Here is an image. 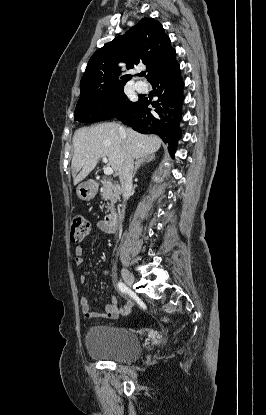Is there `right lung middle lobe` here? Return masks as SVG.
Returning <instances> with one entry per match:
<instances>
[{
	"instance_id": "1",
	"label": "right lung middle lobe",
	"mask_w": 266,
	"mask_h": 415,
	"mask_svg": "<svg viewBox=\"0 0 266 415\" xmlns=\"http://www.w3.org/2000/svg\"><path fill=\"white\" fill-rule=\"evenodd\" d=\"M124 86L105 92L79 98L75 109V120L79 122H97L109 120L122 114L136 102L127 100Z\"/></svg>"
}]
</instances>
